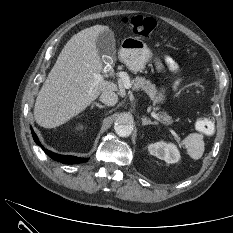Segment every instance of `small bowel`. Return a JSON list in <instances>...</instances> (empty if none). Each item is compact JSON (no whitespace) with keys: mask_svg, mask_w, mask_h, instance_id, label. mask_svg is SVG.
<instances>
[{"mask_svg":"<svg viewBox=\"0 0 233 233\" xmlns=\"http://www.w3.org/2000/svg\"><path fill=\"white\" fill-rule=\"evenodd\" d=\"M165 63L168 65V67L171 70H176L177 69V65H176L175 61L172 58H170V57L166 58Z\"/></svg>","mask_w":233,"mask_h":233,"instance_id":"small-bowel-1","label":"small bowel"}]
</instances>
